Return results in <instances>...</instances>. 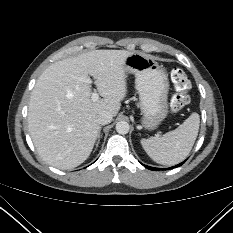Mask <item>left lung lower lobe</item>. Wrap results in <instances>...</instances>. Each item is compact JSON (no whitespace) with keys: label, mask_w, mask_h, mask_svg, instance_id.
I'll use <instances>...</instances> for the list:
<instances>
[{"label":"left lung lower lobe","mask_w":233,"mask_h":233,"mask_svg":"<svg viewBox=\"0 0 233 233\" xmlns=\"http://www.w3.org/2000/svg\"><path fill=\"white\" fill-rule=\"evenodd\" d=\"M183 164V162L182 163H180V164H178V165H176L175 167H179L180 165H182ZM146 168H148V169H150V170H159L158 168H154V167H149V166H147V165H144Z\"/></svg>","instance_id":"obj_1"}]
</instances>
